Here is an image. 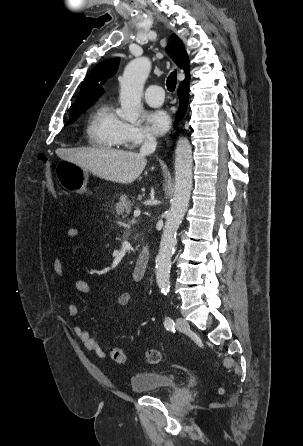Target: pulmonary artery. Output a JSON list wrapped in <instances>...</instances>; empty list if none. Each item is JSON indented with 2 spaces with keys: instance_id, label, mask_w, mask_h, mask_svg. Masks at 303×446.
Masks as SVG:
<instances>
[{
  "instance_id": "1",
  "label": "pulmonary artery",
  "mask_w": 303,
  "mask_h": 446,
  "mask_svg": "<svg viewBox=\"0 0 303 446\" xmlns=\"http://www.w3.org/2000/svg\"><path fill=\"white\" fill-rule=\"evenodd\" d=\"M145 101L153 107L162 105L164 101V91L158 85H150L145 91Z\"/></svg>"
}]
</instances>
